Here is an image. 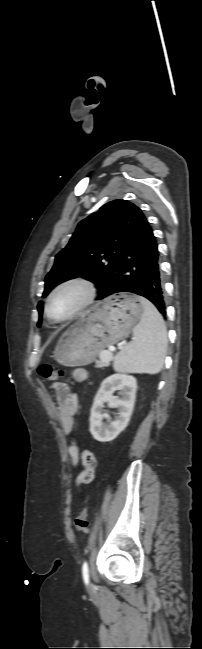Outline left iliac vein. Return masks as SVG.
<instances>
[{
  "mask_svg": "<svg viewBox=\"0 0 202 649\" xmlns=\"http://www.w3.org/2000/svg\"><path fill=\"white\" fill-rule=\"evenodd\" d=\"M88 587L91 588V584H89Z\"/></svg>",
  "mask_w": 202,
  "mask_h": 649,
  "instance_id": "left-iliac-vein-1",
  "label": "left iliac vein"
}]
</instances>
